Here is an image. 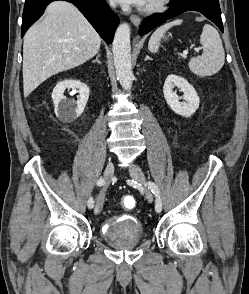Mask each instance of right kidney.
Wrapping results in <instances>:
<instances>
[{
  "label": "right kidney",
  "mask_w": 249,
  "mask_h": 294,
  "mask_svg": "<svg viewBox=\"0 0 249 294\" xmlns=\"http://www.w3.org/2000/svg\"><path fill=\"white\" fill-rule=\"evenodd\" d=\"M66 89L78 90L77 101L67 99L64 96L63 93ZM89 94V87L79 80L65 79L60 81L52 92L56 115L65 122H72L83 113Z\"/></svg>",
  "instance_id": "obj_1"
}]
</instances>
